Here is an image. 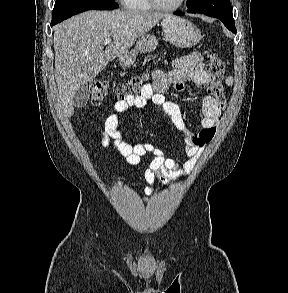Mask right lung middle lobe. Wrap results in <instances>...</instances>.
Wrapping results in <instances>:
<instances>
[{
    "instance_id": "1",
    "label": "right lung middle lobe",
    "mask_w": 288,
    "mask_h": 293,
    "mask_svg": "<svg viewBox=\"0 0 288 293\" xmlns=\"http://www.w3.org/2000/svg\"><path fill=\"white\" fill-rule=\"evenodd\" d=\"M118 8L114 0H56L51 23H59L87 10H111Z\"/></svg>"
}]
</instances>
